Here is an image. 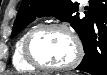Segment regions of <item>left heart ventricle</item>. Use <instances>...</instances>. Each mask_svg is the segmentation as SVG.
Wrapping results in <instances>:
<instances>
[{
  "mask_svg": "<svg viewBox=\"0 0 107 75\" xmlns=\"http://www.w3.org/2000/svg\"><path fill=\"white\" fill-rule=\"evenodd\" d=\"M34 55L49 65H64L75 55L71 38L62 31L50 30L39 34L32 44Z\"/></svg>",
  "mask_w": 107,
  "mask_h": 75,
  "instance_id": "left-heart-ventricle-1",
  "label": "left heart ventricle"
}]
</instances>
